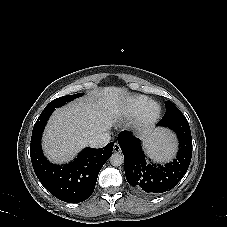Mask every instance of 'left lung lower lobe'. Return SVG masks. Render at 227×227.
<instances>
[{
  "mask_svg": "<svg viewBox=\"0 0 227 227\" xmlns=\"http://www.w3.org/2000/svg\"><path fill=\"white\" fill-rule=\"evenodd\" d=\"M157 126L171 129L179 139L177 157L169 164L150 162L142 150L141 141L131 133L125 131L118 136L124 154L126 179L137 193L145 196H158L174 188L187 172L192 158L190 126L175 105L166 108Z\"/></svg>",
  "mask_w": 227,
  "mask_h": 227,
  "instance_id": "0a47b994",
  "label": "left lung lower lobe"
}]
</instances>
